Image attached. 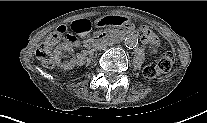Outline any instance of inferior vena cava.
Returning a JSON list of instances; mask_svg holds the SVG:
<instances>
[{
	"label": "inferior vena cava",
	"instance_id": "inferior-vena-cava-1",
	"mask_svg": "<svg viewBox=\"0 0 207 123\" xmlns=\"http://www.w3.org/2000/svg\"><path fill=\"white\" fill-rule=\"evenodd\" d=\"M106 48H107V44H105V43H100L97 46V49H99V50H105Z\"/></svg>",
	"mask_w": 207,
	"mask_h": 123
}]
</instances>
